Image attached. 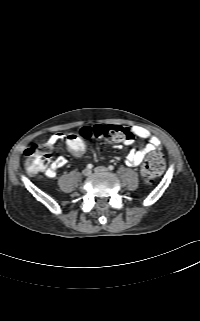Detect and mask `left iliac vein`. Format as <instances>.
<instances>
[{"label":"left iliac vein","instance_id":"4c4485c4","mask_svg":"<svg viewBox=\"0 0 200 321\" xmlns=\"http://www.w3.org/2000/svg\"><path fill=\"white\" fill-rule=\"evenodd\" d=\"M95 172L100 173V172H106L108 169L104 166H98L94 169Z\"/></svg>","mask_w":200,"mask_h":321}]
</instances>
